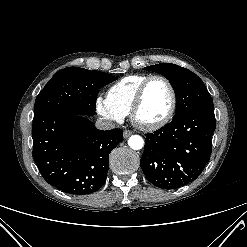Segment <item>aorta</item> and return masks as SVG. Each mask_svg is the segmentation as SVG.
Masks as SVG:
<instances>
[{
  "label": "aorta",
  "instance_id": "obj_1",
  "mask_svg": "<svg viewBox=\"0 0 247 247\" xmlns=\"http://www.w3.org/2000/svg\"><path fill=\"white\" fill-rule=\"evenodd\" d=\"M128 145L131 149L133 150H140L144 146V140L141 136L139 135H132L128 139Z\"/></svg>",
  "mask_w": 247,
  "mask_h": 247
}]
</instances>
